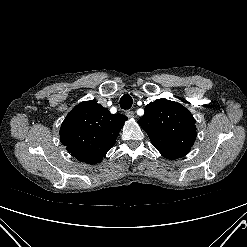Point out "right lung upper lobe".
<instances>
[{
    "mask_svg": "<svg viewBox=\"0 0 247 247\" xmlns=\"http://www.w3.org/2000/svg\"><path fill=\"white\" fill-rule=\"evenodd\" d=\"M127 117L111 114L95 100L76 105L60 128V141L79 161L97 164L113 147Z\"/></svg>",
    "mask_w": 247,
    "mask_h": 247,
    "instance_id": "obj_1",
    "label": "right lung upper lobe"
}]
</instances>
